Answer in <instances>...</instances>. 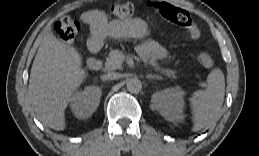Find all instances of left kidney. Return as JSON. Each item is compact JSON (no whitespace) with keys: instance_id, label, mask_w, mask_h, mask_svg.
Here are the masks:
<instances>
[{"instance_id":"left-kidney-1","label":"left kidney","mask_w":259,"mask_h":156,"mask_svg":"<svg viewBox=\"0 0 259 156\" xmlns=\"http://www.w3.org/2000/svg\"><path fill=\"white\" fill-rule=\"evenodd\" d=\"M184 95L180 87L167 88L152 95V107L168 121H182L184 118Z\"/></svg>"}]
</instances>
